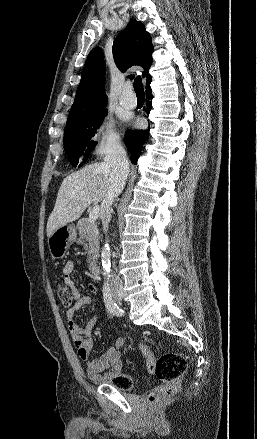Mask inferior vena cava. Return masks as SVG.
Returning <instances> with one entry per match:
<instances>
[{"instance_id": "obj_1", "label": "inferior vena cava", "mask_w": 257, "mask_h": 439, "mask_svg": "<svg viewBox=\"0 0 257 439\" xmlns=\"http://www.w3.org/2000/svg\"><path fill=\"white\" fill-rule=\"evenodd\" d=\"M104 162L112 169L110 187L103 201L105 206L103 227L106 232L110 221L109 207L114 202V199L122 192L129 172L126 151L119 142L110 146L105 155ZM108 281L110 288H123V282L116 274H110Z\"/></svg>"}]
</instances>
